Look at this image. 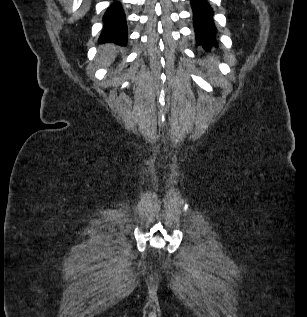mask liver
Segmentation results:
<instances>
[{
    "label": "liver",
    "mask_w": 307,
    "mask_h": 317,
    "mask_svg": "<svg viewBox=\"0 0 307 317\" xmlns=\"http://www.w3.org/2000/svg\"><path fill=\"white\" fill-rule=\"evenodd\" d=\"M118 53L117 46L113 44H106L100 51V56L97 59V63L103 67H109L115 60Z\"/></svg>",
    "instance_id": "1"
}]
</instances>
